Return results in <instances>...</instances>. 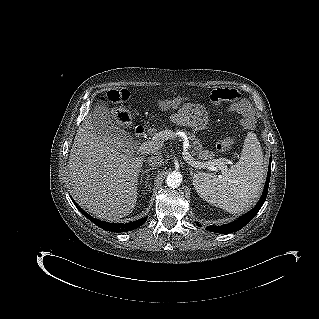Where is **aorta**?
<instances>
[{"label":"aorta","instance_id":"obj_1","mask_svg":"<svg viewBox=\"0 0 319 319\" xmlns=\"http://www.w3.org/2000/svg\"><path fill=\"white\" fill-rule=\"evenodd\" d=\"M182 182V175L180 172L173 171L168 174L166 178L167 186L170 188H177Z\"/></svg>","mask_w":319,"mask_h":319}]
</instances>
